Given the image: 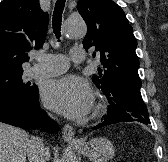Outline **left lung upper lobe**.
<instances>
[{"label":"left lung upper lobe","instance_id":"5c2ea615","mask_svg":"<svg viewBox=\"0 0 168 162\" xmlns=\"http://www.w3.org/2000/svg\"><path fill=\"white\" fill-rule=\"evenodd\" d=\"M77 9L87 24L83 46L94 47L103 65L94 84L103 92L119 86L140 90L137 40L121 7L112 0H80Z\"/></svg>","mask_w":168,"mask_h":162}]
</instances>
